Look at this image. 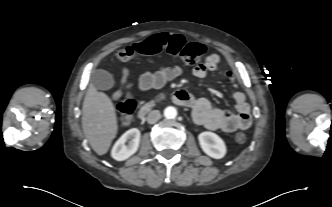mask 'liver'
Wrapping results in <instances>:
<instances>
[{
  "label": "liver",
  "mask_w": 332,
  "mask_h": 207,
  "mask_svg": "<svg viewBox=\"0 0 332 207\" xmlns=\"http://www.w3.org/2000/svg\"><path fill=\"white\" fill-rule=\"evenodd\" d=\"M82 128L98 155L107 153L118 131L115 107L108 95L89 85L82 107Z\"/></svg>",
  "instance_id": "6515ba94"
}]
</instances>
